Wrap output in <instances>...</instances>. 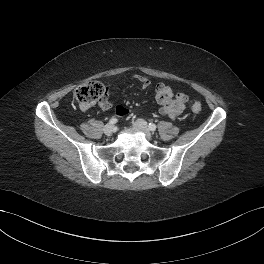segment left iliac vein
<instances>
[{"label":"left iliac vein","instance_id":"left-iliac-vein-1","mask_svg":"<svg viewBox=\"0 0 264 264\" xmlns=\"http://www.w3.org/2000/svg\"><path fill=\"white\" fill-rule=\"evenodd\" d=\"M133 126L138 129L139 131L143 132L148 140H152L153 135L146 123L143 119H137L134 123Z\"/></svg>","mask_w":264,"mask_h":264}]
</instances>
